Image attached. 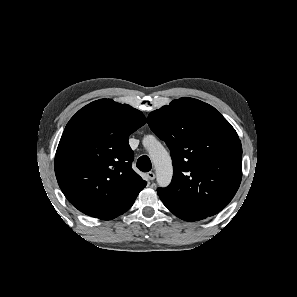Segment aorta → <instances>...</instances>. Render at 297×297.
Instances as JSON below:
<instances>
[{"instance_id": "aorta-1", "label": "aorta", "mask_w": 297, "mask_h": 297, "mask_svg": "<svg viewBox=\"0 0 297 297\" xmlns=\"http://www.w3.org/2000/svg\"><path fill=\"white\" fill-rule=\"evenodd\" d=\"M143 144L149 152L150 159L156 170L157 183L161 187L170 184L173 175L172 161L163 145L152 135L143 139Z\"/></svg>"}]
</instances>
